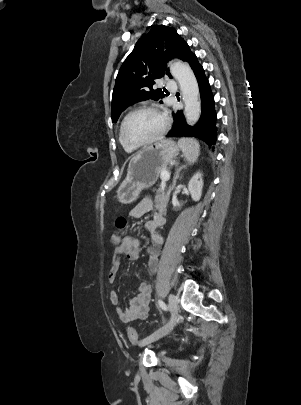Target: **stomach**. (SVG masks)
Instances as JSON below:
<instances>
[{"mask_svg":"<svg viewBox=\"0 0 301 405\" xmlns=\"http://www.w3.org/2000/svg\"><path fill=\"white\" fill-rule=\"evenodd\" d=\"M178 145L172 140H161L143 148L129 161L127 175L117 190L122 204L135 201L143 189L155 184L162 169L176 158Z\"/></svg>","mask_w":301,"mask_h":405,"instance_id":"1","label":"stomach"}]
</instances>
